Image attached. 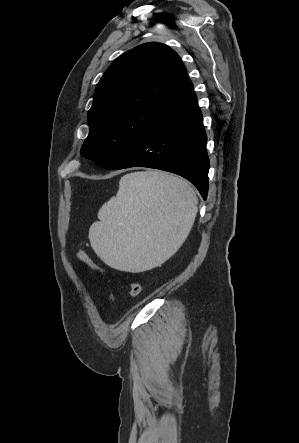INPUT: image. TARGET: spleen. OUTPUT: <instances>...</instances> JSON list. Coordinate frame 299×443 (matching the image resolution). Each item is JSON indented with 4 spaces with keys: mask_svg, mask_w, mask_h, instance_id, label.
Wrapping results in <instances>:
<instances>
[{
    "mask_svg": "<svg viewBox=\"0 0 299 443\" xmlns=\"http://www.w3.org/2000/svg\"><path fill=\"white\" fill-rule=\"evenodd\" d=\"M198 199L185 180L160 171L124 175L92 224V248L108 266L138 273L169 259L187 238Z\"/></svg>",
    "mask_w": 299,
    "mask_h": 443,
    "instance_id": "3e777b00",
    "label": "spleen"
}]
</instances>
